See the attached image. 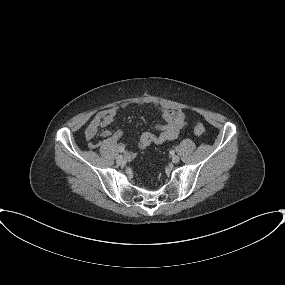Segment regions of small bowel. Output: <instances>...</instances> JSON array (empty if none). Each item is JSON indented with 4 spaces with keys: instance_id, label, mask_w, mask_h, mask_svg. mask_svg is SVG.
Segmentation results:
<instances>
[{
    "instance_id": "small-bowel-1",
    "label": "small bowel",
    "mask_w": 285,
    "mask_h": 285,
    "mask_svg": "<svg viewBox=\"0 0 285 285\" xmlns=\"http://www.w3.org/2000/svg\"><path fill=\"white\" fill-rule=\"evenodd\" d=\"M139 104L142 106H146L154 103L149 99H142ZM156 106L160 111V118L165 123L155 125V130L159 132L158 134L144 132L140 135V137L138 138V147L140 149H144L152 144L160 145L176 139L180 129L186 124L185 116L182 110L167 109L160 104H156ZM118 111V107H112L99 111L88 124L85 131V137L88 141V146L91 149H96L100 145H102L105 147H117L118 150L124 149L125 151V146L118 142L122 136L121 130L112 131L106 129L102 131L101 135L103 137V141L101 143H96L93 141V139L98 133L99 128L107 127L108 125H110L117 118ZM125 155L131 157L133 153L126 152Z\"/></svg>"
}]
</instances>
